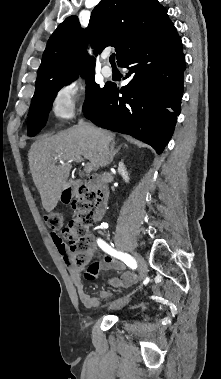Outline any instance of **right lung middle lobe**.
Here are the masks:
<instances>
[{
  "instance_id": "obj_1",
  "label": "right lung middle lobe",
  "mask_w": 221,
  "mask_h": 379,
  "mask_svg": "<svg viewBox=\"0 0 221 379\" xmlns=\"http://www.w3.org/2000/svg\"><path fill=\"white\" fill-rule=\"evenodd\" d=\"M83 76L87 80L86 100L83 105V111H85L99 99L107 85L100 88L99 85L94 82V72L85 73ZM74 79L75 77L61 79L35 92L28 118L29 136H35L38 134L46 123L48 113L51 110L57 92L63 86L71 83Z\"/></svg>"
}]
</instances>
